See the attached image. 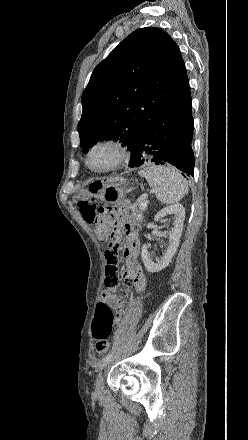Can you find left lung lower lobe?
<instances>
[{"instance_id": "0a47b994", "label": "left lung lower lobe", "mask_w": 248, "mask_h": 440, "mask_svg": "<svg viewBox=\"0 0 248 440\" xmlns=\"http://www.w3.org/2000/svg\"><path fill=\"white\" fill-rule=\"evenodd\" d=\"M192 99L188 86L150 122L139 136L131 153L130 167L146 162L172 165L193 176L194 153L191 147L194 129Z\"/></svg>"}]
</instances>
